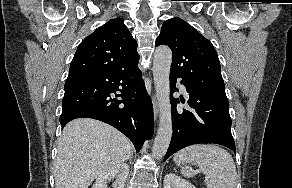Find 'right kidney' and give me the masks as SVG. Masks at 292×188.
<instances>
[{"label":"right kidney","mask_w":292,"mask_h":188,"mask_svg":"<svg viewBox=\"0 0 292 188\" xmlns=\"http://www.w3.org/2000/svg\"><path fill=\"white\" fill-rule=\"evenodd\" d=\"M128 173L129 166L126 163H121L98 176L92 188H108L107 181L114 178H116V181L113 188H124Z\"/></svg>","instance_id":"ca27d5eb"}]
</instances>
